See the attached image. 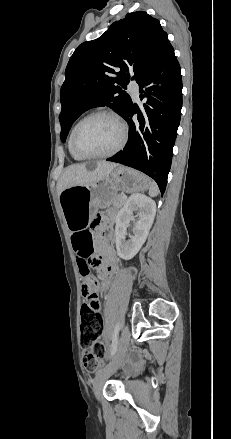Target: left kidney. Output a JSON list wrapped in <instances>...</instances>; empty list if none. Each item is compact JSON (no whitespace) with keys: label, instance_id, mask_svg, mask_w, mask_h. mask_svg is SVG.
<instances>
[{"label":"left kidney","instance_id":"obj_1","mask_svg":"<svg viewBox=\"0 0 231 439\" xmlns=\"http://www.w3.org/2000/svg\"><path fill=\"white\" fill-rule=\"evenodd\" d=\"M138 211V220L133 227V235L125 241L127 227ZM156 214V203L143 194H132L116 216L115 242L118 255L124 260L133 258L145 243Z\"/></svg>","mask_w":231,"mask_h":439}]
</instances>
